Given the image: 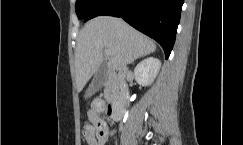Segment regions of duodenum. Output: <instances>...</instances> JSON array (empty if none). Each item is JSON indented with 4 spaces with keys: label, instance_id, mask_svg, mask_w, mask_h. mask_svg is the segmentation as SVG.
I'll list each match as a JSON object with an SVG mask.
<instances>
[{
    "label": "duodenum",
    "instance_id": "duodenum-1",
    "mask_svg": "<svg viewBox=\"0 0 243 145\" xmlns=\"http://www.w3.org/2000/svg\"><path fill=\"white\" fill-rule=\"evenodd\" d=\"M110 75L119 82V88L117 93L109 99L106 112L113 120L119 121L124 117L128 104V90L123 85L126 73L122 69H116L112 70Z\"/></svg>",
    "mask_w": 243,
    "mask_h": 145
}]
</instances>
